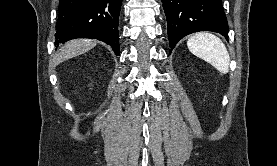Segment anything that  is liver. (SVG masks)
Returning a JSON list of instances; mask_svg holds the SVG:
<instances>
[{"mask_svg": "<svg viewBox=\"0 0 277 166\" xmlns=\"http://www.w3.org/2000/svg\"><path fill=\"white\" fill-rule=\"evenodd\" d=\"M96 45V41L90 39H75L64 44L54 58V64L57 65L65 60L79 56Z\"/></svg>", "mask_w": 277, "mask_h": 166, "instance_id": "6515ba94", "label": "liver"}]
</instances>
